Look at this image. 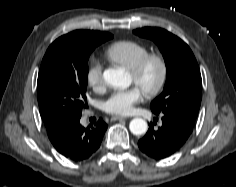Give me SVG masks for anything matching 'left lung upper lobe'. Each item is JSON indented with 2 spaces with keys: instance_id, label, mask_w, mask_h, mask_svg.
<instances>
[{
  "instance_id": "obj_1",
  "label": "left lung upper lobe",
  "mask_w": 236,
  "mask_h": 187,
  "mask_svg": "<svg viewBox=\"0 0 236 187\" xmlns=\"http://www.w3.org/2000/svg\"><path fill=\"white\" fill-rule=\"evenodd\" d=\"M134 33L158 45L167 68L164 90L151 102L152 112L172 115L194 125L201 104L202 79L191 49L161 28L144 27Z\"/></svg>"
}]
</instances>
